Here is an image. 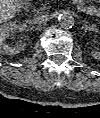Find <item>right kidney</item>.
Wrapping results in <instances>:
<instances>
[{
	"label": "right kidney",
	"mask_w": 100,
	"mask_h": 118,
	"mask_svg": "<svg viewBox=\"0 0 100 118\" xmlns=\"http://www.w3.org/2000/svg\"><path fill=\"white\" fill-rule=\"evenodd\" d=\"M21 29L15 22H7L0 26V52L6 55H12L18 53L24 46L26 38H21L19 42L10 46L7 41L11 34L16 30Z\"/></svg>",
	"instance_id": "ca27d5eb"
}]
</instances>
